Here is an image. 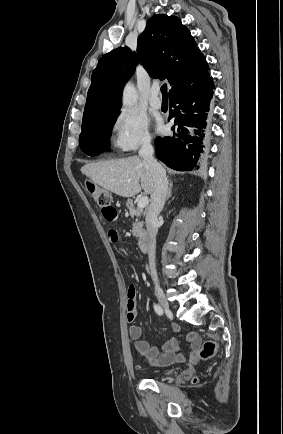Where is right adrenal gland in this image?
Here are the masks:
<instances>
[{"mask_svg":"<svg viewBox=\"0 0 283 434\" xmlns=\"http://www.w3.org/2000/svg\"><path fill=\"white\" fill-rule=\"evenodd\" d=\"M172 192V182L169 183L168 193H167V200L171 197Z\"/></svg>","mask_w":283,"mask_h":434,"instance_id":"1","label":"right adrenal gland"}]
</instances>
